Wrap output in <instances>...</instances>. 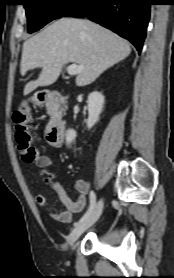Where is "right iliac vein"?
I'll return each instance as SVG.
<instances>
[{
	"mask_svg": "<svg viewBox=\"0 0 174 278\" xmlns=\"http://www.w3.org/2000/svg\"><path fill=\"white\" fill-rule=\"evenodd\" d=\"M103 210V201L102 199L96 205L95 210L91 214V216L86 219L84 222L76 225V227L72 230L69 235V243L71 246L79 239V237L89 228L91 227L100 217Z\"/></svg>",
	"mask_w": 174,
	"mask_h": 278,
	"instance_id": "right-iliac-vein-1",
	"label": "right iliac vein"
}]
</instances>
